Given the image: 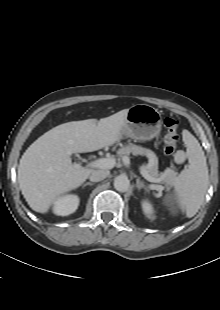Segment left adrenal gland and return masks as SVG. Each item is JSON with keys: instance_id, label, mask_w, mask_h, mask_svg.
<instances>
[{"instance_id": "obj_1", "label": "left adrenal gland", "mask_w": 220, "mask_h": 310, "mask_svg": "<svg viewBox=\"0 0 220 310\" xmlns=\"http://www.w3.org/2000/svg\"><path fill=\"white\" fill-rule=\"evenodd\" d=\"M136 187L138 190L144 189V190L148 191V188L144 185V183L142 181H140V179L136 180Z\"/></svg>"}]
</instances>
